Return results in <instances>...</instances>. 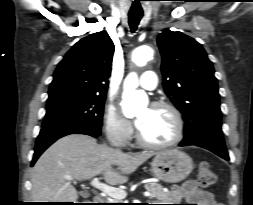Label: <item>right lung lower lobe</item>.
Instances as JSON below:
<instances>
[{"instance_id": "98d812e1", "label": "right lung lower lobe", "mask_w": 253, "mask_h": 205, "mask_svg": "<svg viewBox=\"0 0 253 205\" xmlns=\"http://www.w3.org/2000/svg\"><path fill=\"white\" fill-rule=\"evenodd\" d=\"M99 128H88L84 126L76 125H62L54 127H43L38 135L35 152L31 166L34 165L39 156L57 139L69 135V134H86L92 137H98L100 135Z\"/></svg>"}]
</instances>
